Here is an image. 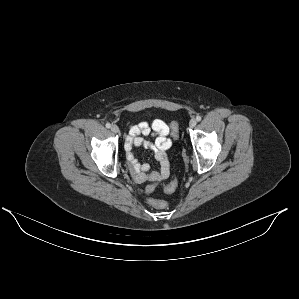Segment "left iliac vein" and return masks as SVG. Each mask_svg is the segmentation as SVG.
I'll return each mask as SVG.
<instances>
[{
  "label": "left iliac vein",
  "mask_w": 299,
  "mask_h": 299,
  "mask_svg": "<svg viewBox=\"0 0 299 299\" xmlns=\"http://www.w3.org/2000/svg\"><path fill=\"white\" fill-rule=\"evenodd\" d=\"M196 124H197V121L195 119H191L190 122H189V126L191 128H194L196 126Z\"/></svg>",
  "instance_id": "obj_1"
}]
</instances>
